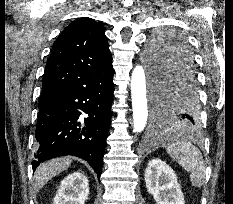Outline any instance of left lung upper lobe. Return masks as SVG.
<instances>
[{"label": "left lung upper lobe", "mask_w": 233, "mask_h": 204, "mask_svg": "<svg viewBox=\"0 0 233 204\" xmlns=\"http://www.w3.org/2000/svg\"><path fill=\"white\" fill-rule=\"evenodd\" d=\"M179 53H185L192 58L191 50L185 43L183 38L176 33L167 32L156 35L148 43L144 58L149 66L151 77L157 78L167 70V66L171 63L169 58ZM184 115L185 119L181 121V125L187 129H194L196 119L200 120V108L192 105L189 100H183L174 115ZM200 128V126H199Z\"/></svg>", "instance_id": "obj_1"}]
</instances>
